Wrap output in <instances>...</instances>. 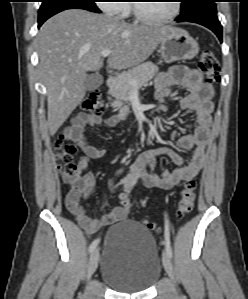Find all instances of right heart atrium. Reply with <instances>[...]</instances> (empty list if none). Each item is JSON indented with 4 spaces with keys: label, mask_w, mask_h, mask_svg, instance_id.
<instances>
[{
    "label": "right heart atrium",
    "mask_w": 248,
    "mask_h": 299,
    "mask_svg": "<svg viewBox=\"0 0 248 299\" xmlns=\"http://www.w3.org/2000/svg\"><path fill=\"white\" fill-rule=\"evenodd\" d=\"M122 0H100V9L110 15L121 16L127 13V7Z\"/></svg>",
    "instance_id": "right-heart-atrium-1"
}]
</instances>
